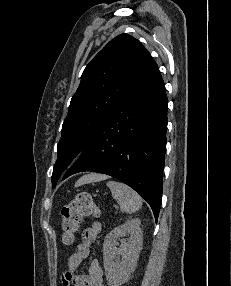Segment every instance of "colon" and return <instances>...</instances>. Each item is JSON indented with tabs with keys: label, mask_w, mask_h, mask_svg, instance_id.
<instances>
[{
	"label": "colon",
	"mask_w": 231,
	"mask_h": 286,
	"mask_svg": "<svg viewBox=\"0 0 231 286\" xmlns=\"http://www.w3.org/2000/svg\"><path fill=\"white\" fill-rule=\"evenodd\" d=\"M97 213L98 209L92 196L87 192L78 193L69 204L61 209L63 241L66 244L73 243L83 219Z\"/></svg>",
	"instance_id": "obj_1"
}]
</instances>
